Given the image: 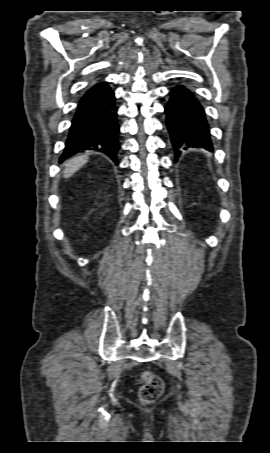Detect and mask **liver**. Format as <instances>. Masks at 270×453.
Here are the masks:
<instances>
[{
	"label": "liver",
	"instance_id": "liver-1",
	"mask_svg": "<svg viewBox=\"0 0 270 453\" xmlns=\"http://www.w3.org/2000/svg\"><path fill=\"white\" fill-rule=\"evenodd\" d=\"M88 155H80L71 158L65 164L64 178L71 177L77 172L84 164L88 162Z\"/></svg>",
	"mask_w": 270,
	"mask_h": 453
}]
</instances>
